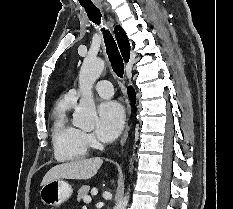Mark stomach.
I'll return each instance as SVG.
<instances>
[{"label":"stomach","instance_id":"stomach-1","mask_svg":"<svg viewBox=\"0 0 233 209\" xmlns=\"http://www.w3.org/2000/svg\"><path fill=\"white\" fill-rule=\"evenodd\" d=\"M72 192V187L68 182L56 179L42 186L40 198L46 205L60 206L71 197Z\"/></svg>","mask_w":233,"mask_h":209}]
</instances>
